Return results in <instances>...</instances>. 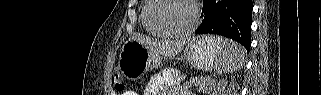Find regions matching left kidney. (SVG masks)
<instances>
[{"mask_svg": "<svg viewBox=\"0 0 321 95\" xmlns=\"http://www.w3.org/2000/svg\"><path fill=\"white\" fill-rule=\"evenodd\" d=\"M215 95H228V89L226 87H219L215 93Z\"/></svg>", "mask_w": 321, "mask_h": 95, "instance_id": "5707ae66", "label": "left kidney"}]
</instances>
